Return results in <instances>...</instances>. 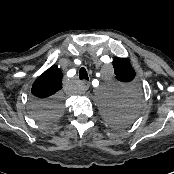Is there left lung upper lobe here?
<instances>
[{"label": "left lung upper lobe", "mask_w": 174, "mask_h": 174, "mask_svg": "<svg viewBox=\"0 0 174 174\" xmlns=\"http://www.w3.org/2000/svg\"><path fill=\"white\" fill-rule=\"evenodd\" d=\"M114 72L116 78L122 82H129L134 79L135 71L131 67L130 62L126 58L116 57L113 61ZM129 101L122 107H110L111 110L107 112V119L115 126H126L134 117V105L137 97L132 96L128 98Z\"/></svg>", "instance_id": "1"}]
</instances>
